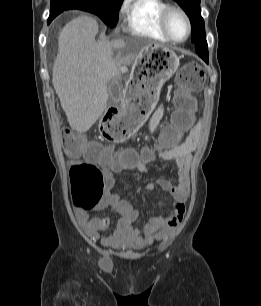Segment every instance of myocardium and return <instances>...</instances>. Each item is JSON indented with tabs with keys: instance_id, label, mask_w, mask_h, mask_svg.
<instances>
[{
	"instance_id": "f54148a6",
	"label": "myocardium",
	"mask_w": 261,
	"mask_h": 306,
	"mask_svg": "<svg viewBox=\"0 0 261 306\" xmlns=\"http://www.w3.org/2000/svg\"><path fill=\"white\" fill-rule=\"evenodd\" d=\"M178 13L184 20L185 24H186V29H187V33H186V36L181 39V40H177L175 39L171 33H170V30H169V27H168V18L169 16L172 14V13ZM159 22H160V26H161V29L162 31L164 32V34L166 35V37L174 42V43H182V42H185L191 35V22H190V19L187 15V13L179 6H175V5H168L161 13L160 15V19H159Z\"/></svg>"
}]
</instances>
